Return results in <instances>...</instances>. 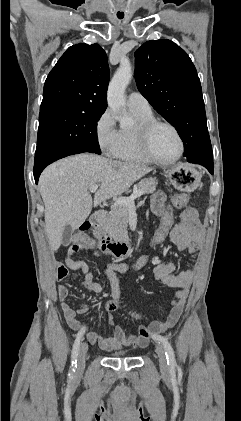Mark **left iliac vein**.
<instances>
[{
    "instance_id": "1",
    "label": "left iliac vein",
    "mask_w": 241,
    "mask_h": 421,
    "mask_svg": "<svg viewBox=\"0 0 241 421\" xmlns=\"http://www.w3.org/2000/svg\"><path fill=\"white\" fill-rule=\"evenodd\" d=\"M155 351L158 355L159 365H160L161 371L163 373H167L169 368H168L167 358H166V355H165L164 348L162 347V345L157 344Z\"/></svg>"
}]
</instances>
